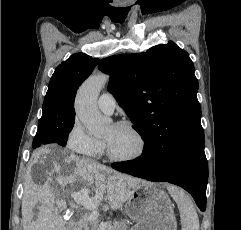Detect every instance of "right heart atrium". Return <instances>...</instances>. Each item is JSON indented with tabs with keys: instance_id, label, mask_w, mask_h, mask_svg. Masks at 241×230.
<instances>
[{
	"instance_id": "d8ad5b80",
	"label": "right heart atrium",
	"mask_w": 241,
	"mask_h": 230,
	"mask_svg": "<svg viewBox=\"0 0 241 230\" xmlns=\"http://www.w3.org/2000/svg\"><path fill=\"white\" fill-rule=\"evenodd\" d=\"M66 144L73 152L91 157L98 155L103 149V144L90 136L78 120L69 131Z\"/></svg>"
}]
</instances>
